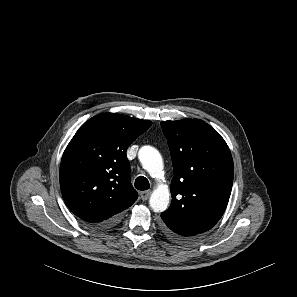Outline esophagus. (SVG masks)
<instances>
[{"label": "esophagus", "mask_w": 297, "mask_h": 297, "mask_svg": "<svg viewBox=\"0 0 297 297\" xmlns=\"http://www.w3.org/2000/svg\"><path fill=\"white\" fill-rule=\"evenodd\" d=\"M140 197L143 201L147 200L150 195H151V191L150 190H146V191H141L140 193Z\"/></svg>", "instance_id": "obj_1"}]
</instances>
